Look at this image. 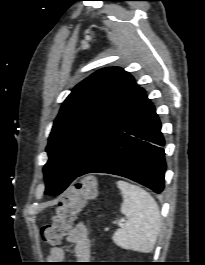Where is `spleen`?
<instances>
[{
  "label": "spleen",
  "instance_id": "obj_1",
  "mask_svg": "<svg viewBox=\"0 0 205 265\" xmlns=\"http://www.w3.org/2000/svg\"><path fill=\"white\" fill-rule=\"evenodd\" d=\"M117 186L123 195L121 212L127 221L115 231L113 241L121 248L149 253L154 249L161 228L158 204L137 185L119 180Z\"/></svg>",
  "mask_w": 205,
  "mask_h": 265
}]
</instances>
